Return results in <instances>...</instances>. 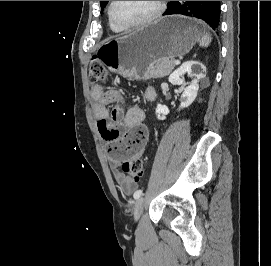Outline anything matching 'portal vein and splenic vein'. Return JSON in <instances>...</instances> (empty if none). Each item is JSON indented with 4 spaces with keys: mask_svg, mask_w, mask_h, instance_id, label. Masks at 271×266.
I'll return each instance as SVG.
<instances>
[{
    "mask_svg": "<svg viewBox=\"0 0 271 266\" xmlns=\"http://www.w3.org/2000/svg\"><path fill=\"white\" fill-rule=\"evenodd\" d=\"M174 63H175V65H179L180 64V60H176Z\"/></svg>",
    "mask_w": 271,
    "mask_h": 266,
    "instance_id": "18ae733b",
    "label": "portal vein and splenic vein"
}]
</instances>
